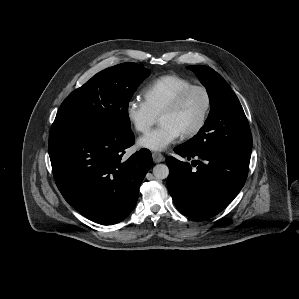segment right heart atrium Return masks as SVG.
Masks as SVG:
<instances>
[{
	"label": "right heart atrium",
	"mask_w": 299,
	"mask_h": 299,
	"mask_svg": "<svg viewBox=\"0 0 299 299\" xmlns=\"http://www.w3.org/2000/svg\"><path fill=\"white\" fill-rule=\"evenodd\" d=\"M125 115L132 128L138 133L147 132L156 121V116L145 102L138 99H131L126 103Z\"/></svg>",
	"instance_id": "obj_1"
}]
</instances>
